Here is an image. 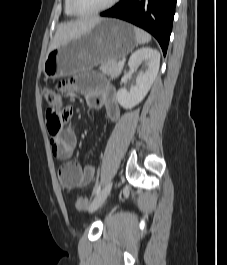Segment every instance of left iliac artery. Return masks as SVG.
I'll list each match as a JSON object with an SVG mask.
<instances>
[{
  "instance_id": "left-iliac-artery-1",
  "label": "left iliac artery",
  "mask_w": 227,
  "mask_h": 265,
  "mask_svg": "<svg viewBox=\"0 0 227 265\" xmlns=\"http://www.w3.org/2000/svg\"><path fill=\"white\" fill-rule=\"evenodd\" d=\"M100 192V184H97L96 187L94 188L93 194L97 195Z\"/></svg>"
}]
</instances>
